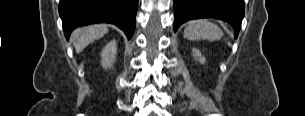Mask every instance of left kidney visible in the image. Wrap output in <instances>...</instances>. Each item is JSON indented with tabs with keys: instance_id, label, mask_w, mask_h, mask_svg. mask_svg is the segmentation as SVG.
<instances>
[{
	"instance_id": "obj_1",
	"label": "left kidney",
	"mask_w": 305,
	"mask_h": 116,
	"mask_svg": "<svg viewBox=\"0 0 305 116\" xmlns=\"http://www.w3.org/2000/svg\"><path fill=\"white\" fill-rule=\"evenodd\" d=\"M192 54H193V57L198 60L201 64H204L205 63V58L202 56L201 52L196 49V48H193L192 49Z\"/></svg>"
}]
</instances>
